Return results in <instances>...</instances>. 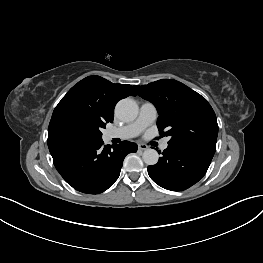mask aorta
<instances>
[{
    "instance_id": "aorta-1",
    "label": "aorta",
    "mask_w": 263,
    "mask_h": 263,
    "mask_svg": "<svg viewBox=\"0 0 263 263\" xmlns=\"http://www.w3.org/2000/svg\"><path fill=\"white\" fill-rule=\"evenodd\" d=\"M116 115L125 122H130L136 119L138 115V105L130 98L120 100L115 108ZM143 161L147 165H155L158 162L159 154L154 149H146L143 152Z\"/></svg>"
}]
</instances>
